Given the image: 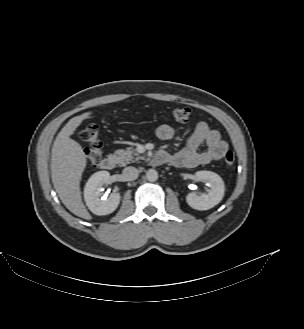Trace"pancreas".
<instances>
[{
  "instance_id": "pancreas-1",
  "label": "pancreas",
  "mask_w": 304,
  "mask_h": 329,
  "mask_svg": "<svg viewBox=\"0 0 304 329\" xmlns=\"http://www.w3.org/2000/svg\"><path fill=\"white\" fill-rule=\"evenodd\" d=\"M114 156L117 159V162L120 166H126L127 164L131 162L138 161L139 159H142V157L139 155V153L129 147L126 150L119 149L114 152Z\"/></svg>"
}]
</instances>
